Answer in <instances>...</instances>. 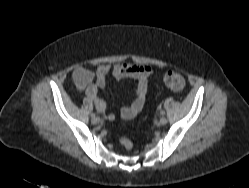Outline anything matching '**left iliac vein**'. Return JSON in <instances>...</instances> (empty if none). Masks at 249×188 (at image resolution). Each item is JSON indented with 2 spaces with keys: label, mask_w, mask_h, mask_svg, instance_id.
<instances>
[{
  "label": "left iliac vein",
  "mask_w": 249,
  "mask_h": 188,
  "mask_svg": "<svg viewBox=\"0 0 249 188\" xmlns=\"http://www.w3.org/2000/svg\"><path fill=\"white\" fill-rule=\"evenodd\" d=\"M159 124H160V125H165V124H167V118H166V117H161L160 120H159Z\"/></svg>",
  "instance_id": "left-iliac-vein-1"
}]
</instances>
